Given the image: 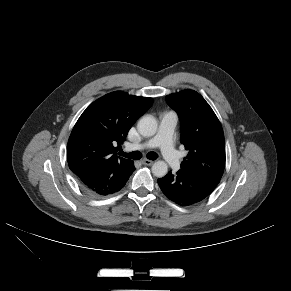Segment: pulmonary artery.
I'll return each instance as SVG.
<instances>
[{
    "label": "pulmonary artery",
    "instance_id": "pulmonary-artery-1",
    "mask_svg": "<svg viewBox=\"0 0 291 291\" xmlns=\"http://www.w3.org/2000/svg\"><path fill=\"white\" fill-rule=\"evenodd\" d=\"M177 120V115L174 112L163 113L160 117V126L157 134L143 143L130 145L129 149L145 150L158 147L169 166L174 170H179V156L173 147V132Z\"/></svg>",
    "mask_w": 291,
    "mask_h": 291
}]
</instances>
